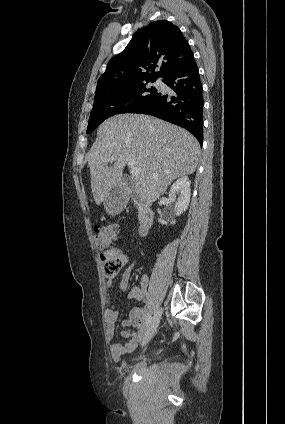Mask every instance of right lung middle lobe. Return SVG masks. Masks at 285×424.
<instances>
[{"label": "right lung middle lobe", "instance_id": "obj_1", "mask_svg": "<svg viewBox=\"0 0 285 424\" xmlns=\"http://www.w3.org/2000/svg\"><path fill=\"white\" fill-rule=\"evenodd\" d=\"M154 81H137L96 90L87 134L91 133L107 118L115 114L130 112L152 98L158 91L153 86L148 87L147 83Z\"/></svg>", "mask_w": 285, "mask_h": 424}]
</instances>
